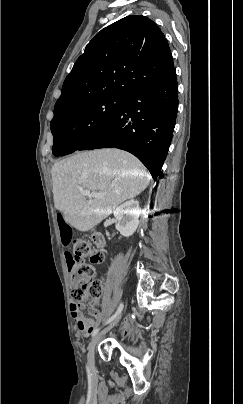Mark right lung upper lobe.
Masks as SVG:
<instances>
[{"mask_svg":"<svg viewBox=\"0 0 243 404\" xmlns=\"http://www.w3.org/2000/svg\"><path fill=\"white\" fill-rule=\"evenodd\" d=\"M173 68L168 42L156 23L145 16L122 18L88 43L63 83L54 117L99 98H126Z\"/></svg>","mask_w":243,"mask_h":404,"instance_id":"cb5924a9","label":"right lung upper lobe"}]
</instances>
